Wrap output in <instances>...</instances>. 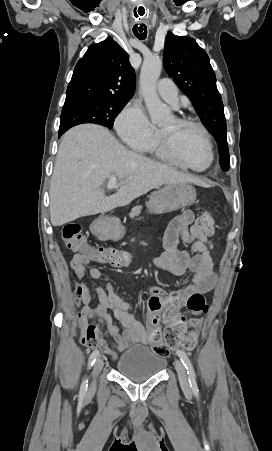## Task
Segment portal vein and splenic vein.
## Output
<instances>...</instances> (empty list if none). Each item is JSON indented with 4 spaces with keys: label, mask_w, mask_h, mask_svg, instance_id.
Wrapping results in <instances>:
<instances>
[{
    "label": "portal vein and splenic vein",
    "mask_w": 272,
    "mask_h": 451,
    "mask_svg": "<svg viewBox=\"0 0 272 451\" xmlns=\"http://www.w3.org/2000/svg\"><path fill=\"white\" fill-rule=\"evenodd\" d=\"M79 164H81V162H79ZM118 186H120V184H117V178H115V176L109 178V182L107 184V188H109V190H112V188H118Z\"/></svg>",
    "instance_id": "18ae733b"
}]
</instances>
